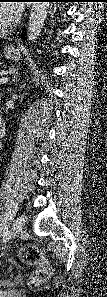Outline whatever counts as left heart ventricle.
<instances>
[{
    "mask_svg": "<svg viewBox=\"0 0 107 297\" xmlns=\"http://www.w3.org/2000/svg\"><path fill=\"white\" fill-rule=\"evenodd\" d=\"M1 15H0V26H4L9 24L13 19V11L11 5L2 4L0 7Z\"/></svg>",
    "mask_w": 107,
    "mask_h": 297,
    "instance_id": "b2bd125f",
    "label": "left heart ventricle"
}]
</instances>
